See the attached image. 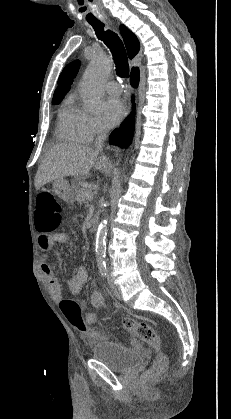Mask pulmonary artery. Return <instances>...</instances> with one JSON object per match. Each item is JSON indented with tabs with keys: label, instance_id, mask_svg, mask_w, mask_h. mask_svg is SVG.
<instances>
[{
	"label": "pulmonary artery",
	"instance_id": "pulmonary-artery-1",
	"mask_svg": "<svg viewBox=\"0 0 231 419\" xmlns=\"http://www.w3.org/2000/svg\"><path fill=\"white\" fill-rule=\"evenodd\" d=\"M106 91L112 96H118L122 92V88L119 83L115 81H110L105 86Z\"/></svg>",
	"mask_w": 231,
	"mask_h": 419
}]
</instances>
